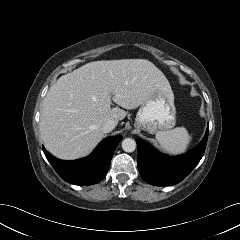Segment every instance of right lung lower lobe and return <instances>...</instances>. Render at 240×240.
I'll use <instances>...</instances> for the list:
<instances>
[{
  "mask_svg": "<svg viewBox=\"0 0 240 240\" xmlns=\"http://www.w3.org/2000/svg\"><path fill=\"white\" fill-rule=\"evenodd\" d=\"M122 136H111L101 141L86 158L64 161L55 158L43 147L44 154L57 174L65 181L75 185H92L106 176L115 148Z\"/></svg>",
  "mask_w": 240,
  "mask_h": 240,
  "instance_id": "98d812e1",
  "label": "right lung lower lobe"
}]
</instances>
